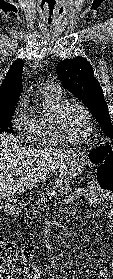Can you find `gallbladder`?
<instances>
[{
    "label": "gallbladder",
    "instance_id": "obj_1",
    "mask_svg": "<svg viewBox=\"0 0 113 279\" xmlns=\"http://www.w3.org/2000/svg\"><path fill=\"white\" fill-rule=\"evenodd\" d=\"M4 207H5V202L3 200H0V210Z\"/></svg>",
    "mask_w": 113,
    "mask_h": 279
}]
</instances>
